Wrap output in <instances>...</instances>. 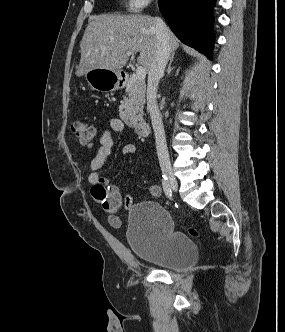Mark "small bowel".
Instances as JSON below:
<instances>
[{"label":"small bowel","instance_id":"small-bowel-1","mask_svg":"<svg viewBox=\"0 0 285 332\" xmlns=\"http://www.w3.org/2000/svg\"><path fill=\"white\" fill-rule=\"evenodd\" d=\"M108 124L109 127L101 134L99 147L90 162L88 181L91 185L92 198L109 215L110 225L118 228L121 225V220L117 213L122 208H130L133 205V197L131 195L123 197L120 189L115 185H110L109 180L100 173L114 145L113 133H122L125 130V124L119 118H111ZM135 152L136 147L133 144H127L121 149L122 155H129ZM147 195L149 197H159L161 188L157 185L151 186L147 190Z\"/></svg>","mask_w":285,"mask_h":332}]
</instances>
